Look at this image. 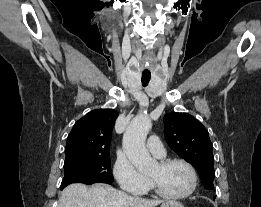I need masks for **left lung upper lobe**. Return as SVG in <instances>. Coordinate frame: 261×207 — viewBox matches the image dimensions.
I'll use <instances>...</instances> for the list:
<instances>
[{"mask_svg":"<svg viewBox=\"0 0 261 207\" xmlns=\"http://www.w3.org/2000/svg\"><path fill=\"white\" fill-rule=\"evenodd\" d=\"M164 127L171 149L195 167L206 189L213 190L214 158L207 129L188 113L166 114Z\"/></svg>","mask_w":261,"mask_h":207,"instance_id":"5c2ea615","label":"left lung upper lobe"}]
</instances>
